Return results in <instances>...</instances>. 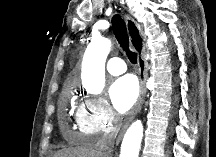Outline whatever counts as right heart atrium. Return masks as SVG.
Instances as JSON below:
<instances>
[{
    "instance_id": "1",
    "label": "right heart atrium",
    "mask_w": 216,
    "mask_h": 157,
    "mask_svg": "<svg viewBox=\"0 0 216 157\" xmlns=\"http://www.w3.org/2000/svg\"><path fill=\"white\" fill-rule=\"evenodd\" d=\"M118 120L107 101L98 97H86L75 114L78 131L90 136L110 134L115 130Z\"/></svg>"
}]
</instances>
